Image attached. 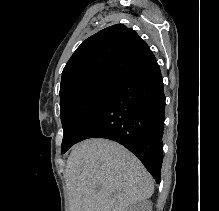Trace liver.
Listing matches in <instances>:
<instances>
[{
  "label": "liver",
  "instance_id": "obj_1",
  "mask_svg": "<svg viewBox=\"0 0 219 211\" xmlns=\"http://www.w3.org/2000/svg\"><path fill=\"white\" fill-rule=\"evenodd\" d=\"M65 179L70 211H127L154 191L153 177L140 159L103 137L72 147Z\"/></svg>",
  "mask_w": 219,
  "mask_h": 211
}]
</instances>
